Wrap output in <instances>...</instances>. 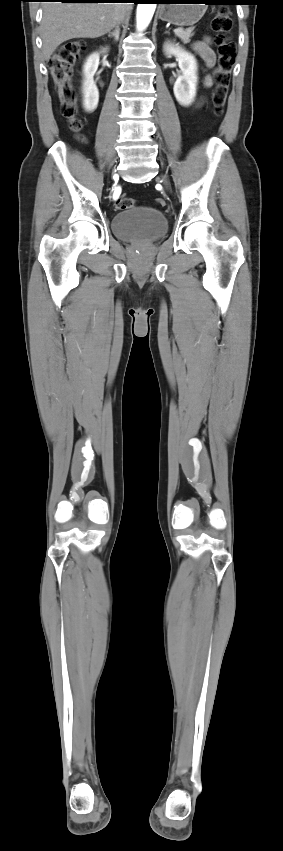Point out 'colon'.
I'll list each match as a JSON object with an SVG mask.
<instances>
[{"label": "colon", "mask_w": 283, "mask_h": 851, "mask_svg": "<svg viewBox=\"0 0 283 851\" xmlns=\"http://www.w3.org/2000/svg\"><path fill=\"white\" fill-rule=\"evenodd\" d=\"M211 27L215 33V43L219 56L216 84L212 93V104L215 115L220 116L226 104L231 71L236 58V46L231 36L233 21L228 9L220 8L216 12L212 19ZM84 50L85 43L82 40H71L62 44L48 61V68L59 93L63 114L69 120L70 128L74 132L81 130L82 123L76 117V94L71 77L73 66ZM156 203L159 206H165V200L162 198H157ZM133 206L134 200L125 194L118 196L115 200V207L117 209L123 210Z\"/></svg>", "instance_id": "1"}]
</instances>
